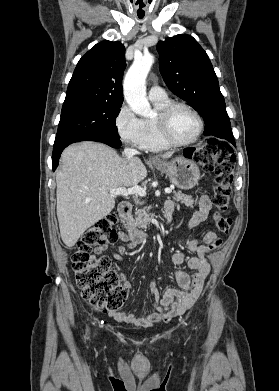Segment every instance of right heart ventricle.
<instances>
[{"mask_svg": "<svg viewBox=\"0 0 279 391\" xmlns=\"http://www.w3.org/2000/svg\"><path fill=\"white\" fill-rule=\"evenodd\" d=\"M153 103L156 110L161 111L168 103H170V101L167 98L162 101H153ZM143 126L144 138L141 145L142 149L147 151L159 152L170 148V146L164 142L160 135L156 123V118L144 119Z\"/></svg>", "mask_w": 279, "mask_h": 391, "instance_id": "1", "label": "right heart ventricle"}]
</instances>
